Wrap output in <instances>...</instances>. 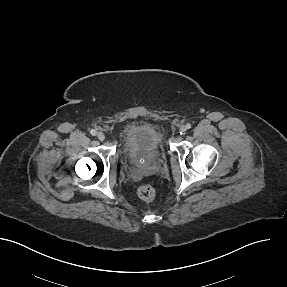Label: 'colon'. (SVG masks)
Segmentation results:
<instances>
[{"mask_svg":"<svg viewBox=\"0 0 287 287\" xmlns=\"http://www.w3.org/2000/svg\"><path fill=\"white\" fill-rule=\"evenodd\" d=\"M137 194L142 200L147 202L153 201L156 197V192L154 188L148 184H143L139 186Z\"/></svg>","mask_w":287,"mask_h":287,"instance_id":"5ec220e1","label":"colon"}]
</instances>
